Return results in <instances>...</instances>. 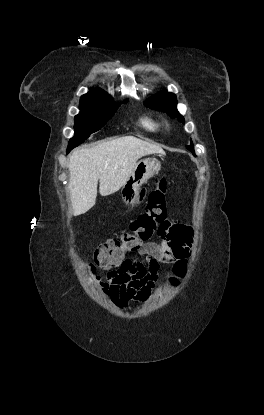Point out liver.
<instances>
[{
  "label": "liver",
  "instance_id": "1",
  "mask_svg": "<svg viewBox=\"0 0 264 415\" xmlns=\"http://www.w3.org/2000/svg\"><path fill=\"white\" fill-rule=\"evenodd\" d=\"M154 153L164 154V151L134 136L75 150L68 165L73 215L84 214L95 205L98 182L102 196L117 192L127 182L138 159Z\"/></svg>",
  "mask_w": 264,
  "mask_h": 415
}]
</instances>
